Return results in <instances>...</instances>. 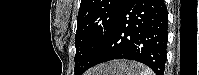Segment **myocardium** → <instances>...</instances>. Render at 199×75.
<instances>
[{
  "label": "myocardium",
  "mask_w": 199,
  "mask_h": 75,
  "mask_svg": "<svg viewBox=\"0 0 199 75\" xmlns=\"http://www.w3.org/2000/svg\"><path fill=\"white\" fill-rule=\"evenodd\" d=\"M90 50H93V49H95V45H93V46H90V48H89Z\"/></svg>",
  "instance_id": "1"
}]
</instances>
